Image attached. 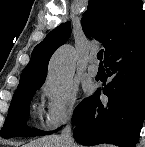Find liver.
<instances>
[{"instance_id": "liver-1", "label": "liver", "mask_w": 145, "mask_h": 147, "mask_svg": "<svg viewBox=\"0 0 145 147\" xmlns=\"http://www.w3.org/2000/svg\"><path fill=\"white\" fill-rule=\"evenodd\" d=\"M74 147H78L74 144ZM23 147H64L60 136L51 135L34 140Z\"/></svg>"}]
</instances>
